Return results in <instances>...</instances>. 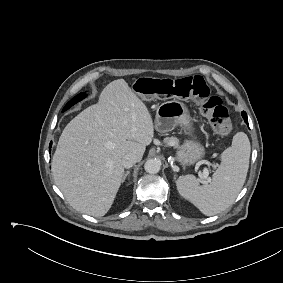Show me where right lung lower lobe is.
I'll use <instances>...</instances> for the list:
<instances>
[{"instance_id": "98d812e1", "label": "right lung lower lobe", "mask_w": 283, "mask_h": 283, "mask_svg": "<svg viewBox=\"0 0 283 283\" xmlns=\"http://www.w3.org/2000/svg\"><path fill=\"white\" fill-rule=\"evenodd\" d=\"M51 146H52V142H50V146H49V148H51Z\"/></svg>"}]
</instances>
